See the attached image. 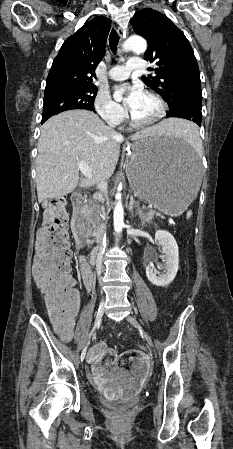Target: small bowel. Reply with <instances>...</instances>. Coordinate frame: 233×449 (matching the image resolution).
Segmentation results:
<instances>
[{"mask_svg":"<svg viewBox=\"0 0 233 449\" xmlns=\"http://www.w3.org/2000/svg\"><path fill=\"white\" fill-rule=\"evenodd\" d=\"M78 278L87 289H91L96 275L94 272H79ZM76 310L69 321L56 322V329L64 340L72 338ZM128 352L133 356L137 351L132 347ZM117 359L115 350L101 342L94 344L89 352L92 378L101 387L100 399H134L137 390L143 389L142 377L150 376L149 361L145 354L135 356L132 368H120Z\"/></svg>","mask_w":233,"mask_h":449,"instance_id":"small-bowel-1","label":"small bowel"}]
</instances>
